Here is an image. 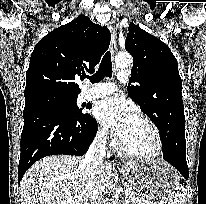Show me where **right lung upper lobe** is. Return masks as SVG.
I'll list each match as a JSON object with an SVG mask.
<instances>
[{
	"instance_id": "obj_1",
	"label": "right lung upper lobe",
	"mask_w": 206,
	"mask_h": 204,
	"mask_svg": "<svg viewBox=\"0 0 206 204\" xmlns=\"http://www.w3.org/2000/svg\"><path fill=\"white\" fill-rule=\"evenodd\" d=\"M110 39L106 27L84 15L48 33L31 54L25 98L43 93L78 95L75 78L94 72Z\"/></svg>"
}]
</instances>
